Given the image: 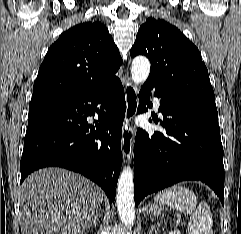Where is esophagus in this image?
<instances>
[{"label":"esophagus","instance_id":"1","mask_svg":"<svg viewBox=\"0 0 241 234\" xmlns=\"http://www.w3.org/2000/svg\"><path fill=\"white\" fill-rule=\"evenodd\" d=\"M126 112L122 126V152L125 162H130L133 153V120L138 108V88L129 77L125 83Z\"/></svg>","mask_w":241,"mask_h":234}]
</instances>
